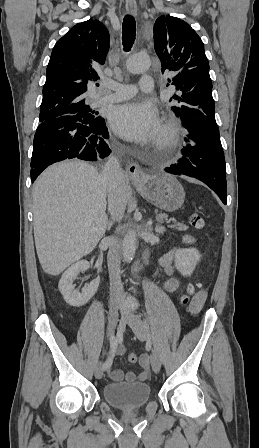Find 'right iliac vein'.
Instances as JSON below:
<instances>
[{
    "label": "right iliac vein",
    "mask_w": 259,
    "mask_h": 448,
    "mask_svg": "<svg viewBox=\"0 0 259 448\" xmlns=\"http://www.w3.org/2000/svg\"><path fill=\"white\" fill-rule=\"evenodd\" d=\"M120 307V303L117 300H112L109 304V313H108V336L111 337L114 334V330L116 324L118 322V310ZM95 377L96 379H100L103 376V368L102 364L98 363L95 368Z\"/></svg>",
    "instance_id": "63e3f726"
}]
</instances>
